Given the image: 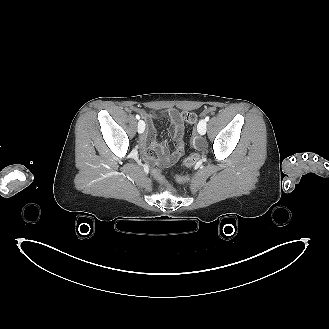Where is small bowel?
<instances>
[{
  "instance_id": "small-bowel-1",
  "label": "small bowel",
  "mask_w": 329,
  "mask_h": 329,
  "mask_svg": "<svg viewBox=\"0 0 329 329\" xmlns=\"http://www.w3.org/2000/svg\"><path fill=\"white\" fill-rule=\"evenodd\" d=\"M140 114L148 121L146 132L141 137V143L145 149V157L152 164L168 166L174 163L184 152L185 144L183 140L184 124L180 111L175 108L161 110L160 114L166 116L170 122V133L174 142V151L169 154L165 143H157L156 129L152 124V115L145 110H139ZM155 151L157 157L153 156Z\"/></svg>"
}]
</instances>
